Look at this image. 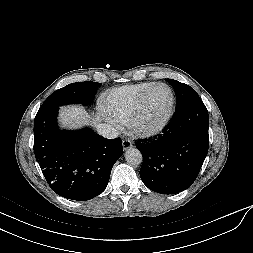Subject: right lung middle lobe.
Masks as SVG:
<instances>
[{
    "instance_id": "1",
    "label": "right lung middle lobe",
    "mask_w": 253,
    "mask_h": 253,
    "mask_svg": "<svg viewBox=\"0 0 253 253\" xmlns=\"http://www.w3.org/2000/svg\"><path fill=\"white\" fill-rule=\"evenodd\" d=\"M100 85L101 83L91 81L71 83L53 92L41 107L76 103L88 105Z\"/></svg>"
}]
</instances>
